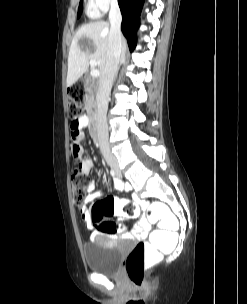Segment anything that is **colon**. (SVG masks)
I'll return each instance as SVG.
<instances>
[{"mask_svg":"<svg viewBox=\"0 0 247 304\" xmlns=\"http://www.w3.org/2000/svg\"><path fill=\"white\" fill-rule=\"evenodd\" d=\"M68 113L72 122H77L83 111L85 99L84 85L77 82L68 89ZM73 152V151H71ZM89 181L78 167L71 175V185L74 201L82 207L86 197ZM147 225H154L150 240L139 242L129 253L126 260V272L131 285L140 288L143 285L144 271L155 259H161V253H173L178 242V227L180 220L177 214H172L167 202H151L148 208ZM139 214V207L130 201L107 197L94 203L91 217L100 232L116 234L117 225L109 220L114 215L134 218Z\"/></svg>","mask_w":247,"mask_h":304,"instance_id":"obj_1","label":"colon"}]
</instances>
